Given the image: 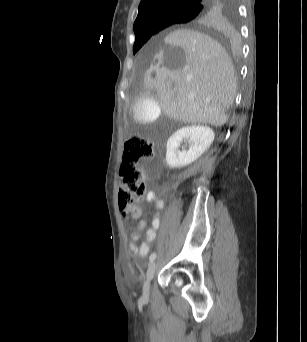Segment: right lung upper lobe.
Instances as JSON below:
<instances>
[{"label":"right lung upper lobe","mask_w":307,"mask_h":342,"mask_svg":"<svg viewBox=\"0 0 307 342\" xmlns=\"http://www.w3.org/2000/svg\"><path fill=\"white\" fill-rule=\"evenodd\" d=\"M184 9L198 10L197 16L188 21L196 29L219 38L229 34L230 0H142L134 32L136 34L157 27L167 14Z\"/></svg>","instance_id":"right-lung-upper-lobe-1"}]
</instances>
